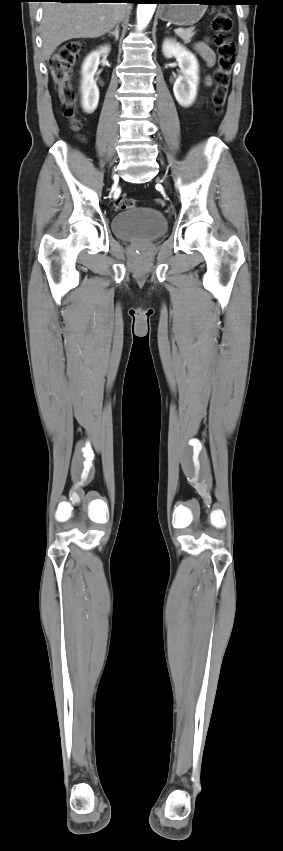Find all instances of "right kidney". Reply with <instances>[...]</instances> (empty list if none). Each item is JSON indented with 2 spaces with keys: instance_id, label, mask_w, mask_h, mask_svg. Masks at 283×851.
I'll return each instance as SVG.
<instances>
[{
  "instance_id": "obj_1",
  "label": "right kidney",
  "mask_w": 283,
  "mask_h": 851,
  "mask_svg": "<svg viewBox=\"0 0 283 851\" xmlns=\"http://www.w3.org/2000/svg\"><path fill=\"white\" fill-rule=\"evenodd\" d=\"M109 51L110 46H104L91 52L82 65V108L88 114L93 113L98 106L99 89L94 80V75L98 69L101 55H107Z\"/></svg>"
}]
</instances>
